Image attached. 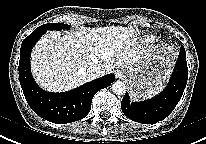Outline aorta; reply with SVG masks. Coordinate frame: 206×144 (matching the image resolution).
I'll use <instances>...</instances> for the list:
<instances>
[{
    "mask_svg": "<svg viewBox=\"0 0 206 144\" xmlns=\"http://www.w3.org/2000/svg\"><path fill=\"white\" fill-rule=\"evenodd\" d=\"M112 91L116 95H123L126 92V86L123 82L121 81H116L112 84Z\"/></svg>",
    "mask_w": 206,
    "mask_h": 144,
    "instance_id": "762f6f07",
    "label": "aorta"
}]
</instances>
